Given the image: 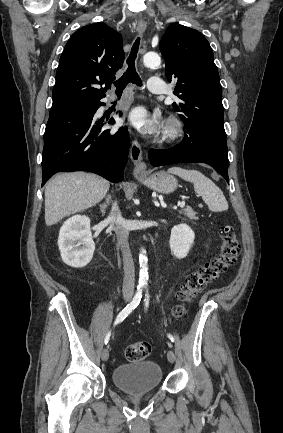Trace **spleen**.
I'll return each instance as SVG.
<instances>
[{
    "label": "spleen",
    "mask_w": 283,
    "mask_h": 433,
    "mask_svg": "<svg viewBox=\"0 0 283 433\" xmlns=\"http://www.w3.org/2000/svg\"><path fill=\"white\" fill-rule=\"evenodd\" d=\"M168 172L178 174L184 180L193 182L195 192H198L202 196L203 200L208 204L209 210H213V212L228 210V202L222 190L214 184L213 180L207 178L199 170H186V168H181V166H172V168H168Z\"/></svg>",
    "instance_id": "3e777b00"
}]
</instances>
